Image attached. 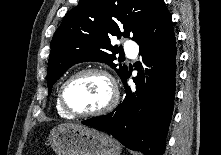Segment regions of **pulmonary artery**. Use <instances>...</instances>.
<instances>
[{
  "label": "pulmonary artery",
  "mask_w": 221,
  "mask_h": 155,
  "mask_svg": "<svg viewBox=\"0 0 221 155\" xmlns=\"http://www.w3.org/2000/svg\"><path fill=\"white\" fill-rule=\"evenodd\" d=\"M124 49H125V52L128 56L134 58L136 55H137V52H138V47L137 45L132 42V41H128L125 43V46H124Z\"/></svg>",
  "instance_id": "e3ab8cb5"
}]
</instances>
